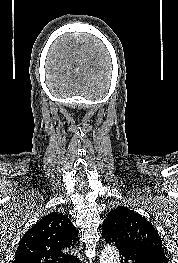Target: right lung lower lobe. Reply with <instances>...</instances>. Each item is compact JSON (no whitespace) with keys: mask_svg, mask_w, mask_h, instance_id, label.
<instances>
[{"mask_svg":"<svg viewBox=\"0 0 178 263\" xmlns=\"http://www.w3.org/2000/svg\"><path fill=\"white\" fill-rule=\"evenodd\" d=\"M73 263H81V261L78 258H76V260L73 261Z\"/></svg>","mask_w":178,"mask_h":263,"instance_id":"obj_1","label":"right lung lower lobe"}]
</instances>
